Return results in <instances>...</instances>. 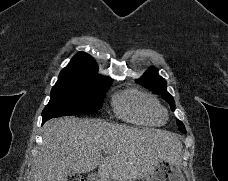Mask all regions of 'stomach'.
Returning a JSON list of instances; mask_svg holds the SVG:
<instances>
[{"label": "stomach", "instance_id": "obj_1", "mask_svg": "<svg viewBox=\"0 0 228 181\" xmlns=\"http://www.w3.org/2000/svg\"><path fill=\"white\" fill-rule=\"evenodd\" d=\"M144 181H185V179L177 165H171V163L163 159L155 167L153 175H147Z\"/></svg>", "mask_w": 228, "mask_h": 181}]
</instances>
